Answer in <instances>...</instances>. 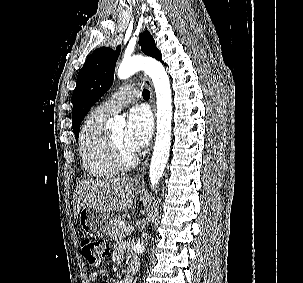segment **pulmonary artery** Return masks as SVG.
Masks as SVG:
<instances>
[{
  "instance_id": "e3ab8cb5",
  "label": "pulmonary artery",
  "mask_w": 303,
  "mask_h": 283,
  "mask_svg": "<svg viewBox=\"0 0 303 283\" xmlns=\"http://www.w3.org/2000/svg\"><path fill=\"white\" fill-rule=\"evenodd\" d=\"M138 90L134 86H124L120 88L107 101L98 106V109L107 115H113L131 101L138 98Z\"/></svg>"
}]
</instances>
